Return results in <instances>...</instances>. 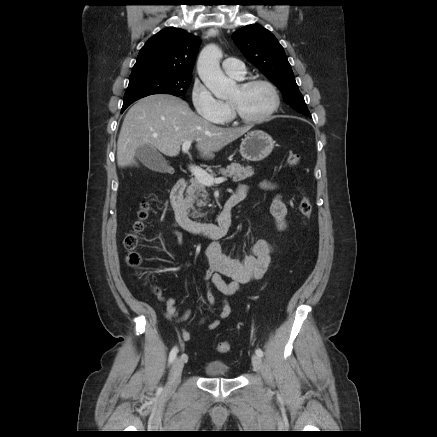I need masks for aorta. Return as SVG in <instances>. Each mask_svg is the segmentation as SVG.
Here are the masks:
<instances>
[{
  "instance_id": "1",
  "label": "aorta",
  "mask_w": 437,
  "mask_h": 437,
  "mask_svg": "<svg viewBox=\"0 0 437 437\" xmlns=\"http://www.w3.org/2000/svg\"><path fill=\"white\" fill-rule=\"evenodd\" d=\"M222 51L215 44L204 47L198 57L197 71L205 86L217 98H226L236 89V82L228 79L220 67Z\"/></svg>"
}]
</instances>
